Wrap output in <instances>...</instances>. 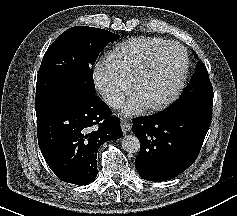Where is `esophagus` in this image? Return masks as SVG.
I'll use <instances>...</instances> for the list:
<instances>
[{
    "label": "esophagus",
    "mask_w": 237,
    "mask_h": 216,
    "mask_svg": "<svg viewBox=\"0 0 237 216\" xmlns=\"http://www.w3.org/2000/svg\"><path fill=\"white\" fill-rule=\"evenodd\" d=\"M132 123L127 119L121 121L122 132L124 134L128 133L131 130Z\"/></svg>",
    "instance_id": "esophagus-1"
}]
</instances>
